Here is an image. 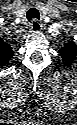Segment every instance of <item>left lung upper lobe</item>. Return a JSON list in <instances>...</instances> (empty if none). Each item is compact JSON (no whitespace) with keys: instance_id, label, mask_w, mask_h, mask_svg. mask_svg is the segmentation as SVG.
Listing matches in <instances>:
<instances>
[{"instance_id":"left-lung-upper-lobe-1","label":"left lung upper lobe","mask_w":77,"mask_h":125,"mask_svg":"<svg viewBox=\"0 0 77 125\" xmlns=\"http://www.w3.org/2000/svg\"><path fill=\"white\" fill-rule=\"evenodd\" d=\"M60 55L64 61L65 66H69L77 56V47L74 42L65 43L59 50Z\"/></svg>"}]
</instances>
